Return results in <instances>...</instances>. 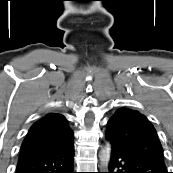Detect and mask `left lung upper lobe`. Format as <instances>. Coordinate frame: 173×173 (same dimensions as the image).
I'll return each mask as SVG.
<instances>
[{"label":"left lung upper lobe","mask_w":173,"mask_h":173,"mask_svg":"<svg viewBox=\"0 0 173 173\" xmlns=\"http://www.w3.org/2000/svg\"><path fill=\"white\" fill-rule=\"evenodd\" d=\"M105 137L112 149L122 150L164 164L163 149L153 125L136 110L121 108L109 119Z\"/></svg>","instance_id":"5c2ea615"}]
</instances>
